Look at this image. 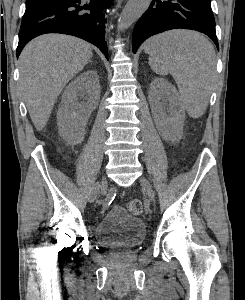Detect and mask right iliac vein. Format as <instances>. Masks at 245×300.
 Segmentation results:
<instances>
[{
  "label": "right iliac vein",
  "instance_id": "63e3f726",
  "mask_svg": "<svg viewBox=\"0 0 245 300\" xmlns=\"http://www.w3.org/2000/svg\"><path fill=\"white\" fill-rule=\"evenodd\" d=\"M104 186H107L106 177H103L101 183H98L96 186L92 187L91 192L89 194V201L90 202H93L95 200V198L97 197L99 192H102Z\"/></svg>",
  "mask_w": 245,
  "mask_h": 300
}]
</instances>
